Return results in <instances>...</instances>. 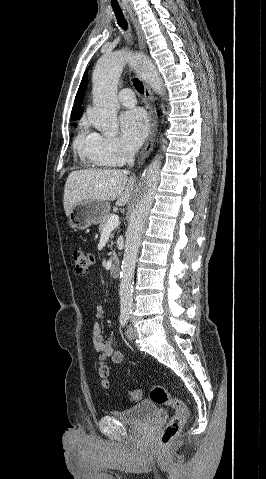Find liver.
I'll use <instances>...</instances> for the list:
<instances>
[{
	"label": "liver",
	"mask_w": 266,
	"mask_h": 479,
	"mask_svg": "<svg viewBox=\"0 0 266 479\" xmlns=\"http://www.w3.org/2000/svg\"><path fill=\"white\" fill-rule=\"evenodd\" d=\"M135 177L117 169H89L72 171L66 180L63 205L68 216L82 200L116 201L126 205L133 196Z\"/></svg>",
	"instance_id": "1"
}]
</instances>
